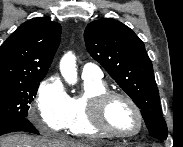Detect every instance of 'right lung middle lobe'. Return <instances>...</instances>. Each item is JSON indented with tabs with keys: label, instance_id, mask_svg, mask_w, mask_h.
Instances as JSON below:
<instances>
[{
	"label": "right lung middle lobe",
	"instance_id": "1",
	"mask_svg": "<svg viewBox=\"0 0 183 147\" xmlns=\"http://www.w3.org/2000/svg\"><path fill=\"white\" fill-rule=\"evenodd\" d=\"M44 77L23 82L0 83V121L26 118L30 103Z\"/></svg>",
	"mask_w": 183,
	"mask_h": 147
}]
</instances>
